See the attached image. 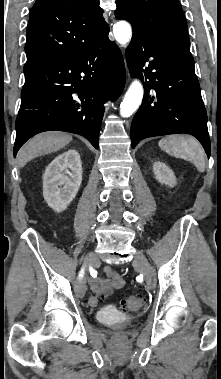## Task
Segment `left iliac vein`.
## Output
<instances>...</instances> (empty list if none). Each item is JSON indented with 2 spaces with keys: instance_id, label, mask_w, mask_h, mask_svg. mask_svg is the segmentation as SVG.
Segmentation results:
<instances>
[{
  "instance_id": "1",
  "label": "left iliac vein",
  "mask_w": 221,
  "mask_h": 379,
  "mask_svg": "<svg viewBox=\"0 0 221 379\" xmlns=\"http://www.w3.org/2000/svg\"><path fill=\"white\" fill-rule=\"evenodd\" d=\"M133 266L143 274L149 288L154 289L156 285L155 272L141 251L136 252Z\"/></svg>"
}]
</instances>
